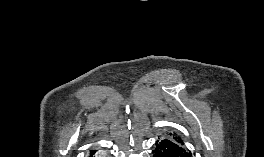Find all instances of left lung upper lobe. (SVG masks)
Listing matches in <instances>:
<instances>
[{
	"mask_svg": "<svg viewBox=\"0 0 264 157\" xmlns=\"http://www.w3.org/2000/svg\"><path fill=\"white\" fill-rule=\"evenodd\" d=\"M167 139H170L172 141H174L175 143H177L178 145H180L182 147L183 150H185V148L183 147V140L179 137V136H174L171 133L167 136ZM186 153L191 154L190 152H187L185 150Z\"/></svg>",
	"mask_w": 264,
	"mask_h": 157,
	"instance_id": "5c2ea615",
	"label": "left lung upper lobe"
}]
</instances>
